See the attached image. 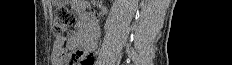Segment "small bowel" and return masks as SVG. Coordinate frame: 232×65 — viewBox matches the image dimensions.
Listing matches in <instances>:
<instances>
[{
    "label": "small bowel",
    "mask_w": 232,
    "mask_h": 65,
    "mask_svg": "<svg viewBox=\"0 0 232 65\" xmlns=\"http://www.w3.org/2000/svg\"><path fill=\"white\" fill-rule=\"evenodd\" d=\"M67 46L70 49L82 46L87 51H93L96 47V40H90L84 32L82 25L78 24L76 30L69 36Z\"/></svg>",
    "instance_id": "1"
}]
</instances>
